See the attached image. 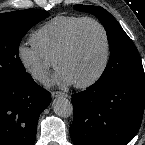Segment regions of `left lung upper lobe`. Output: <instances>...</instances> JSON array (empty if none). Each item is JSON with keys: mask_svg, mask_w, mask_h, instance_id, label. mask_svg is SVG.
Returning a JSON list of instances; mask_svg holds the SVG:
<instances>
[{"mask_svg": "<svg viewBox=\"0 0 145 145\" xmlns=\"http://www.w3.org/2000/svg\"><path fill=\"white\" fill-rule=\"evenodd\" d=\"M74 9L98 17L107 32L111 48L109 62L94 86L102 87L119 80L145 76L136 46L107 10L91 5H75Z\"/></svg>", "mask_w": 145, "mask_h": 145, "instance_id": "obj_1", "label": "left lung upper lobe"}]
</instances>
